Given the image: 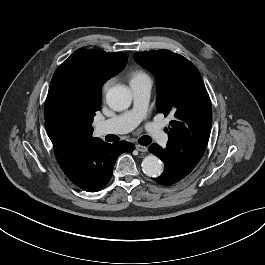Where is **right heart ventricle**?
<instances>
[{
	"mask_svg": "<svg viewBox=\"0 0 265 265\" xmlns=\"http://www.w3.org/2000/svg\"><path fill=\"white\" fill-rule=\"evenodd\" d=\"M147 76L148 75L145 72L138 70V69H135V70L130 72V82L140 80V79L145 78Z\"/></svg>",
	"mask_w": 265,
	"mask_h": 265,
	"instance_id": "right-heart-ventricle-1",
	"label": "right heart ventricle"
}]
</instances>
